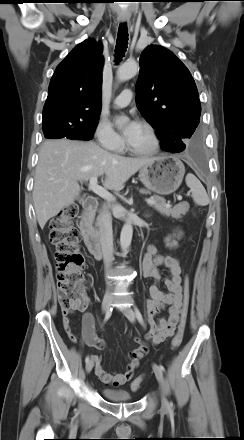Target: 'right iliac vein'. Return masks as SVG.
I'll return each mask as SVG.
<instances>
[{
    "mask_svg": "<svg viewBox=\"0 0 244 440\" xmlns=\"http://www.w3.org/2000/svg\"><path fill=\"white\" fill-rule=\"evenodd\" d=\"M111 302H112V295H111V293L107 292L105 294L103 302H102V310H103V312H107L108 311ZM92 369H93V362L89 361L86 364V372L90 373L92 371Z\"/></svg>",
    "mask_w": 244,
    "mask_h": 440,
    "instance_id": "right-iliac-vein-1",
    "label": "right iliac vein"
}]
</instances>
